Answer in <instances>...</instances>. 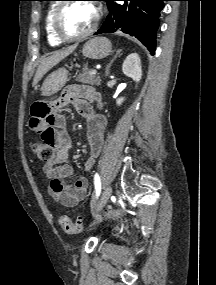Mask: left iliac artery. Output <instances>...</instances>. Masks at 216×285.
I'll use <instances>...</instances> for the list:
<instances>
[{
    "label": "left iliac artery",
    "instance_id": "left-iliac-artery-1",
    "mask_svg": "<svg viewBox=\"0 0 216 285\" xmlns=\"http://www.w3.org/2000/svg\"><path fill=\"white\" fill-rule=\"evenodd\" d=\"M94 185H95L96 196L98 197L101 192V180L97 173L94 176Z\"/></svg>",
    "mask_w": 216,
    "mask_h": 285
}]
</instances>
